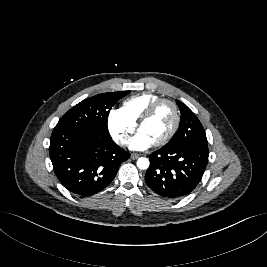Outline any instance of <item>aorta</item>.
Returning <instances> with one entry per match:
<instances>
[{
	"instance_id": "aorta-1",
	"label": "aorta",
	"mask_w": 267,
	"mask_h": 267,
	"mask_svg": "<svg viewBox=\"0 0 267 267\" xmlns=\"http://www.w3.org/2000/svg\"><path fill=\"white\" fill-rule=\"evenodd\" d=\"M149 160L145 157H140L138 160H137V167L141 170H145L149 167Z\"/></svg>"
}]
</instances>
